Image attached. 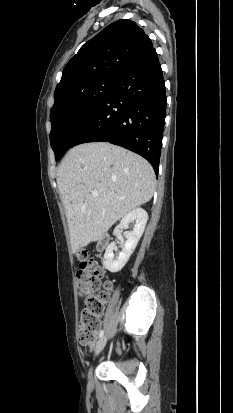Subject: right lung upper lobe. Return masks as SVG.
Returning <instances> with one entry per match:
<instances>
[{
  "label": "right lung upper lobe",
  "mask_w": 233,
  "mask_h": 413,
  "mask_svg": "<svg viewBox=\"0 0 233 413\" xmlns=\"http://www.w3.org/2000/svg\"><path fill=\"white\" fill-rule=\"evenodd\" d=\"M153 47L150 38L130 20H118L86 42L65 66L55 100L100 78H116Z\"/></svg>",
  "instance_id": "cb5924a9"
}]
</instances>
